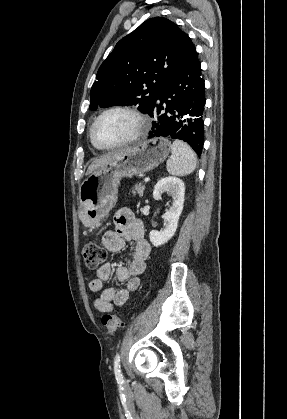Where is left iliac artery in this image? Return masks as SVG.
I'll use <instances>...</instances> for the list:
<instances>
[{
	"instance_id": "obj_1",
	"label": "left iliac artery",
	"mask_w": 287,
	"mask_h": 419,
	"mask_svg": "<svg viewBox=\"0 0 287 419\" xmlns=\"http://www.w3.org/2000/svg\"><path fill=\"white\" fill-rule=\"evenodd\" d=\"M114 373H115L117 381H122L123 380V375H122L121 369H120V356H119V354H117L115 356V359H114Z\"/></svg>"
}]
</instances>
